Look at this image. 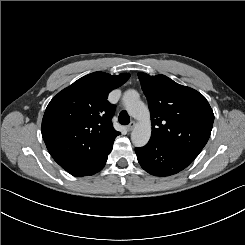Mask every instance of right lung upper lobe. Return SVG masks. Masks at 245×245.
I'll use <instances>...</instances> for the list:
<instances>
[{
	"label": "right lung upper lobe",
	"instance_id": "right-lung-upper-lobe-1",
	"mask_svg": "<svg viewBox=\"0 0 245 245\" xmlns=\"http://www.w3.org/2000/svg\"><path fill=\"white\" fill-rule=\"evenodd\" d=\"M130 75L88 74L59 92L48 104L42 136L54 160L68 173L81 177L102 162L120 134L111 119L115 106L108 94Z\"/></svg>",
	"mask_w": 245,
	"mask_h": 245
}]
</instances>
